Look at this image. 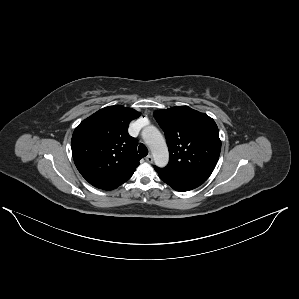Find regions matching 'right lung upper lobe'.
Returning a JSON list of instances; mask_svg holds the SVG:
<instances>
[{"mask_svg": "<svg viewBox=\"0 0 299 299\" xmlns=\"http://www.w3.org/2000/svg\"><path fill=\"white\" fill-rule=\"evenodd\" d=\"M140 112L120 105L100 109L74 130L72 155L91 185L109 190L126 182L139 166L137 140L128 134Z\"/></svg>", "mask_w": 299, "mask_h": 299, "instance_id": "1", "label": "right lung upper lobe"}]
</instances>
